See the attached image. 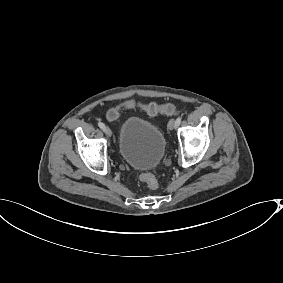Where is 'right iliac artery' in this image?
<instances>
[{
    "instance_id": "right-iliac-artery-1",
    "label": "right iliac artery",
    "mask_w": 283,
    "mask_h": 283,
    "mask_svg": "<svg viewBox=\"0 0 283 283\" xmlns=\"http://www.w3.org/2000/svg\"><path fill=\"white\" fill-rule=\"evenodd\" d=\"M98 126L105 132L106 126L102 122H99Z\"/></svg>"
}]
</instances>
